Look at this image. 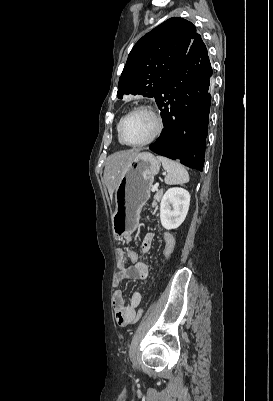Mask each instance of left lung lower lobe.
Segmentation results:
<instances>
[{
    "instance_id": "1",
    "label": "left lung lower lobe",
    "mask_w": 273,
    "mask_h": 401,
    "mask_svg": "<svg viewBox=\"0 0 273 401\" xmlns=\"http://www.w3.org/2000/svg\"><path fill=\"white\" fill-rule=\"evenodd\" d=\"M212 67L201 36L190 46L165 88L155 98L164 130L149 149L202 171Z\"/></svg>"
}]
</instances>
